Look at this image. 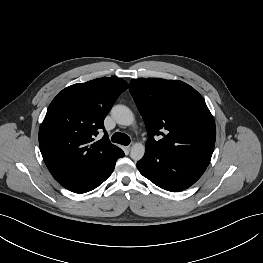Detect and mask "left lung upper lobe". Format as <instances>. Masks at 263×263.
<instances>
[{"mask_svg": "<svg viewBox=\"0 0 263 263\" xmlns=\"http://www.w3.org/2000/svg\"><path fill=\"white\" fill-rule=\"evenodd\" d=\"M129 90L148 131L146 149L209 165L216 127L203 97L194 88L179 80L139 78L131 80ZM155 135L163 137L156 141Z\"/></svg>", "mask_w": 263, "mask_h": 263, "instance_id": "5c2ea615", "label": "left lung upper lobe"}]
</instances>
